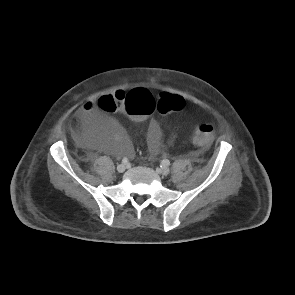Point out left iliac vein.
<instances>
[{
	"instance_id": "left-iliac-vein-1",
	"label": "left iliac vein",
	"mask_w": 295,
	"mask_h": 295,
	"mask_svg": "<svg viewBox=\"0 0 295 295\" xmlns=\"http://www.w3.org/2000/svg\"><path fill=\"white\" fill-rule=\"evenodd\" d=\"M159 173L162 175H168L170 173V169L168 167H162L159 169Z\"/></svg>"
}]
</instances>
